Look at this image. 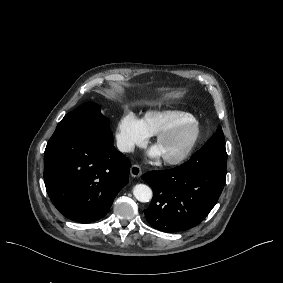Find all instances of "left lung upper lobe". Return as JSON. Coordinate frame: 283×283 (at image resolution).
<instances>
[{
    "label": "left lung upper lobe",
    "mask_w": 283,
    "mask_h": 283,
    "mask_svg": "<svg viewBox=\"0 0 283 283\" xmlns=\"http://www.w3.org/2000/svg\"><path fill=\"white\" fill-rule=\"evenodd\" d=\"M218 141L222 144H225L224 134L221 129H218L216 134H214L207 142Z\"/></svg>",
    "instance_id": "left-lung-upper-lobe-1"
}]
</instances>
